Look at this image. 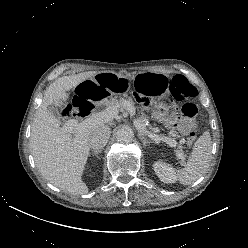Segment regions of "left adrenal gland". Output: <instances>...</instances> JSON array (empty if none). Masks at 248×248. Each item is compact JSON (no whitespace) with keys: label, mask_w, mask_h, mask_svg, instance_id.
<instances>
[{"label":"left adrenal gland","mask_w":248,"mask_h":248,"mask_svg":"<svg viewBox=\"0 0 248 248\" xmlns=\"http://www.w3.org/2000/svg\"><path fill=\"white\" fill-rule=\"evenodd\" d=\"M138 136H139V138L141 139V141H142L144 147H146L147 144L150 145V141H148L146 138H144V137H142V136H140V135H138Z\"/></svg>","instance_id":"obj_1"}]
</instances>
